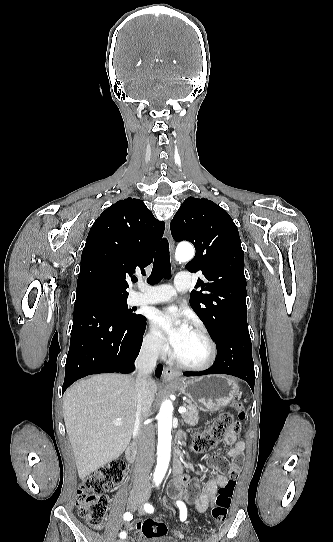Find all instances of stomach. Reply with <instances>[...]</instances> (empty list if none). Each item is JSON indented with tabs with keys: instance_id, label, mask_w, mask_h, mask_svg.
I'll use <instances>...</instances> for the list:
<instances>
[{
	"instance_id": "1",
	"label": "stomach",
	"mask_w": 333,
	"mask_h": 542,
	"mask_svg": "<svg viewBox=\"0 0 333 542\" xmlns=\"http://www.w3.org/2000/svg\"><path fill=\"white\" fill-rule=\"evenodd\" d=\"M174 386L180 394L187 396L190 402L206 412H217L220 408H226L240 392L236 378L215 374L192 380H178Z\"/></svg>"
}]
</instances>
